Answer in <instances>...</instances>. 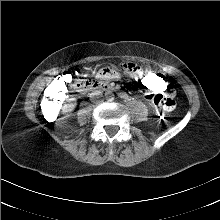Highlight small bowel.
<instances>
[{"label":"small bowel","mask_w":220,"mask_h":220,"mask_svg":"<svg viewBox=\"0 0 220 220\" xmlns=\"http://www.w3.org/2000/svg\"><path fill=\"white\" fill-rule=\"evenodd\" d=\"M94 71L98 77H88L86 79V84L88 86H95L96 88H106L109 80H113L115 78L123 79L128 76H133L139 72V67L133 61H128L127 63H122L111 67H103L101 64H96L94 66ZM144 89L147 91L145 95L146 99H149L150 95L158 93L148 91L146 88ZM161 94H171L174 96L175 92L169 86V89Z\"/></svg>","instance_id":"obj_1"}]
</instances>
